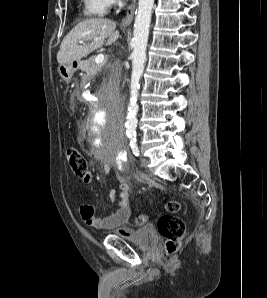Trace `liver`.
Returning a JSON list of instances; mask_svg holds the SVG:
<instances>
[{"label":"liver","instance_id":"6515ba94","mask_svg":"<svg viewBox=\"0 0 267 298\" xmlns=\"http://www.w3.org/2000/svg\"><path fill=\"white\" fill-rule=\"evenodd\" d=\"M115 29L116 23L109 19L91 18L80 22L64 37L60 45L57 53L59 65L80 60L102 47L105 42L106 45H111L119 38V32ZM80 40L88 43L79 45Z\"/></svg>","mask_w":267,"mask_h":298}]
</instances>
